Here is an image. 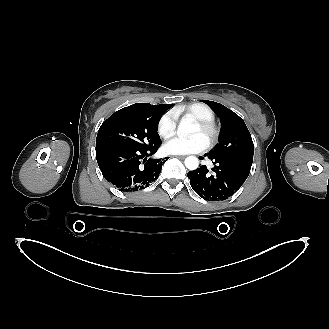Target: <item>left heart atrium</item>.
I'll list each match as a JSON object with an SVG mask.
<instances>
[{"label":"left heart atrium","instance_id":"obj_1","mask_svg":"<svg viewBox=\"0 0 329 329\" xmlns=\"http://www.w3.org/2000/svg\"><path fill=\"white\" fill-rule=\"evenodd\" d=\"M208 142L201 135H192L188 138L176 137L167 141L164 149L170 154H191L204 151Z\"/></svg>","mask_w":329,"mask_h":329}]
</instances>
